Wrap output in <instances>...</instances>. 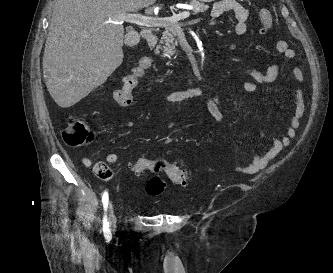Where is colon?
<instances>
[{
	"label": "colon",
	"instance_id": "5ec220e1",
	"mask_svg": "<svg viewBox=\"0 0 333 273\" xmlns=\"http://www.w3.org/2000/svg\"><path fill=\"white\" fill-rule=\"evenodd\" d=\"M259 21L263 32L269 30L273 24L271 11L268 9L260 10ZM142 60L143 58L140 57L138 63ZM93 137L94 134L91 129L82 120L76 117H69L62 130L63 141L71 147L86 146L93 140ZM93 169L96 176L102 180L107 181L112 177L111 168L102 161L97 162ZM131 170L137 176L145 172H164L172 182L180 185H185L188 181L187 173L184 170L163 160L139 158L131 164ZM164 188L165 183L159 176L152 177L146 185L147 193L152 196L161 194Z\"/></svg>",
	"mask_w": 333,
	"mask_h": 273
}]
</instances>
